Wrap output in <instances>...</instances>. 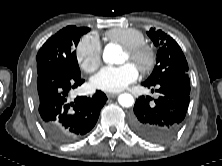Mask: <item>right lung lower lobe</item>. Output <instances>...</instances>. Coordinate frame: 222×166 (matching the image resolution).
<instances>
[{
	"instance_id": "1",
	"label": "right lung lower lobe",
	"mask_w": 222,
	"mask_h": 166,
	"mask_svg": "<svg viewBox=\"0 0 222 166\" xmlns=\"http://www.w3.org/2000/svg\"><path fill=\"white\" fill-rule=\"evenodd\" d=\"M84 80L80 74L54 68L37 75L35 104L45 132L58 143H70L86 135L96 124L107 97L96 91L92 97L69 99V92Z\"/></svg>"
}]
</instances>
